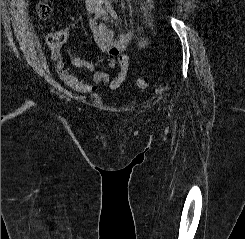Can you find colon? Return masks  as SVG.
<instances>
[{"mask_svg": "<svg viewBox=\"0 0 245 239\" xmlns=\"http://www.w3.org/2000/svg\"><path fill=\"white\" fill-rule=\"evenodd\" d=\"M51 9L46 2H40L37 6V14L41 19H46L49 17ZM62 43V39L58 34H50L47 37V44L51 50L56 51ZM151 84V80L147 76L139 77L136 80V86L141 89H147Z\"/></svg>", "mask_w": 245, "mask_h": 239, "instance_id": "obj_1", "label": "colon"}]
</instances>
